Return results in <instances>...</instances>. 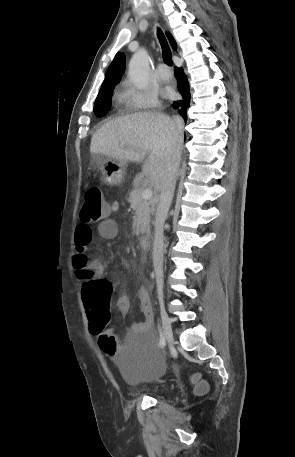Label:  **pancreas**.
Masks as SVG:
<instances>
[{
	"instance_id": "obj_1",
	"label": "pancreas",
	"mask_w": 295,
	"mask_h": 457,
	"mask_svg": "<svg viewBox=\"0 0 295 457\" xmlns=\"http://www.w3.org/2000/svg\"><path fill=\"white\" fill-rule=\"evenodd\" d=\"M142 188L135 187L129 194L128 202L135 211L133 217L134 235L141 236L150 233L151 213L154 212L153 203L142 198Z\"/></svg>"
}]
</instances>
